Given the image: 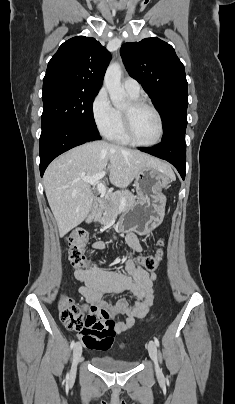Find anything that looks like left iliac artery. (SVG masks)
Masks as SVG:
<instances>
[{"mask_svg": "<svg viewBox=\"0 0 235 404\" xmlns=\"http://www.w3.org/2000/svg\"><path fill=\"white\" fill-rule=\"evenodd\" d=\"M154 342H155V345L159 347V345H160L159 340L156 337H154Z\"/></svg>", "mask_w": 235, "mask_h": 404, "instance_id": "1", "label": "left iliac artery"}]
</instances>
